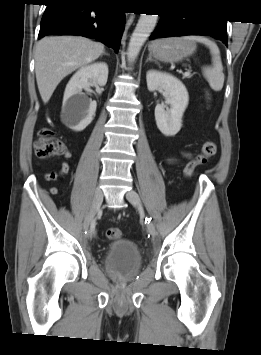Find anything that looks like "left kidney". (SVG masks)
Returning <instances> with one entry per match:
<instances>
[{
	"label": "left kidney",
	"mask_w": 261,
	"mask_h": 355,
	"mask_svg": "<svg viewBox=\"0 0 261 355\" xmlns=\"http://www.w3.org/2000/svg\"><path fill=\"white\" fill-rule=\"evenodd\" d=\"M149 91L164 90L165 104L155 107L156 125L165 136L176 135L182 127V117L188 106L189 95L184 84L176 77L156 70H150L146 75ZM167 104L170 108L165 109Z\"/></svg>",
	"instance_id": "5707ae66"
}]
</instances>
